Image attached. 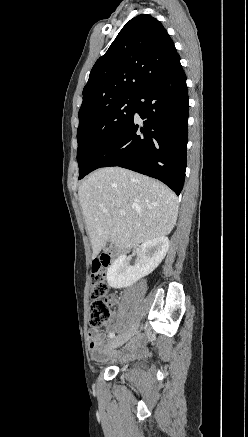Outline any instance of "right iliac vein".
Here are the masks:
<instances>
[{
	"label": "right iliac vein",
	"mask_w": 248,
	"mask_h": 437,
	"mask_svg": "<svg viewBox=\"0 0 248 437\" xmlns=\"http://www.w3.org/2000/svg\"><path fill=\"white\" fill-rule=\"evenodd\" d=\"M137 327H138V324L134 325L128 333L114 338L109 343L108 349L111 350V349L117 348V347L121 346L122 344H124L130 337H132L136 333Z\"/></svg>",
	"instance_id": "obj_1"
}]
</instances>
